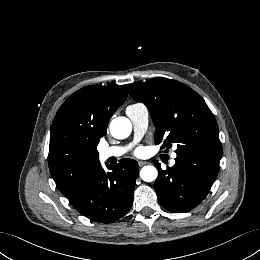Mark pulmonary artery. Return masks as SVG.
<instances>
[{"mask_svg":"<svg viewBox=\"0 0 260 260\" xmlns=\"http://www.w3.org/2000/svg\"><path fill=\"white\" fill-rule=\"evenodd\" d=\"M126 114L129 117L135 133V140H138L146 131L148 125V109L142 104L130 105L126 108ZM130 146H113L100 150L102 159L119 157L124 155Z\"/></svg>","mask_w":260,"mask_h":260,"instance_id":"1","label":"pulmonary artery"}]
</instances>
